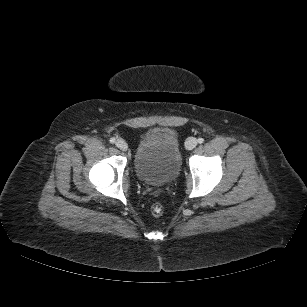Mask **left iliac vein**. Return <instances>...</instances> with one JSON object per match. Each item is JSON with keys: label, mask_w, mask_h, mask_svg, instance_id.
Wrapping results in <instances>:
<instances>
[{"label": "left iliac vein", "mask_w": 307, "mask_h": 307, "mask_svg": "<svg viewBox=\"0 0 307 307\" xmlns=\"http://www.w3.org/2000/svg\"><path fill=\"white\" fill-rule=\"evenodd\" d=\"M197 145V140L194 137H189L185 142L187 150H193Z\"/></svg>", "instance_id": "left-iliac-vein-1"}]
</instances>
